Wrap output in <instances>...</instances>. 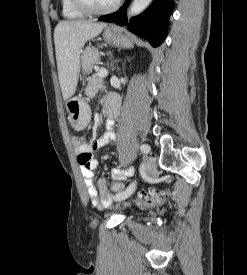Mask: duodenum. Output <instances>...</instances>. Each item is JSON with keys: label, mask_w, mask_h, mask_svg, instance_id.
<instances>
[{"label": "duodenum", "mask_w": 247, "mask_h": 275, "mask_svg": "<svg viewBox=\"0 0 247 275\" xmlns=\"http://www.w3.org/2000/svg\"><path fill=\"white\" fill-rule=\"evenodd\" d=\"M117 112V107L114 105L109 106L108 113L110 116H113Z\"/></svg>", "instance_id": "obj_1"}]
</instances>
